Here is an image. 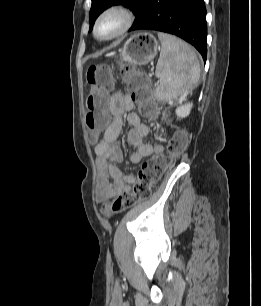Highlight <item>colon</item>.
Segmentation results:
<instances>
[{"instance_id": "obj_1", "label": "colon", "mask_w": 261, "mask_h": 306, "mask_svg": "<svg viewBox=\"0 0 261 306\" xmlns=\"http://www.w3.org/2000/svg\"><path fill=\"white\" fill-rule=\"evenodd\" d=\"M120 70L131 100L140 104L144 114L150 116L153 107L152 92L146 78L130 65H121ZM86 78L89 93L86 99L85 121L90 132L99 133L108 124L106 110L108 94L114 84L113 76L109 66L101 64L89 67ZM186 146V133L176 131L168 141L165 151L158 152L141 164L132 192L119 195L111 204V212L120 213L147 199L151 187L185 151Z\"/></svg>"}]
</instances>
